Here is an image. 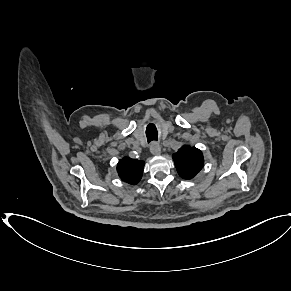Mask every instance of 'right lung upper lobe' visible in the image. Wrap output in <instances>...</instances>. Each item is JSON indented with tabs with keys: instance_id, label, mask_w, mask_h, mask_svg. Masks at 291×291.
Masks as SVG:
<instances>
[{
	"instance_id": "right-lung-upper-lobe-1",
	"label": "right lung upper lobe",
	"mask_w": 291,
	"mask_h": 291,
	"mask_svg": "<svg viewBox=\"0 0 291 291\" xmlns=\"http://www.w3.org/2000/svg\"><path fill=\"white\" fill-rule=\"evenodd\" d=\"M143 166V161L125 157L119 160L117 172L123 181L135 185L142 177Z\"/></svg>"
}]
</instances>
